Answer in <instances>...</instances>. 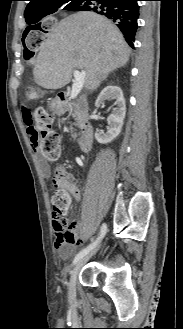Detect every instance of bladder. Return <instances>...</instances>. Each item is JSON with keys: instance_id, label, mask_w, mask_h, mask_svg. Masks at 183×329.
<instances>
[{"instance_id": "1", "label": "bladder", "mask_w": 183, "mask_h": 329, "mask_svg": "<svg viewBox=\"0 0 183 329\" xmlns=\"http://www.w3.org/2000/svg\"><path fill=\"white\" fill-rule=\"evenodd\" d=\"M71 251H72V246L70 243H65L63 246H62V255L65 257V258H68L71 254Z\"/></svg>"}]
</instances>
